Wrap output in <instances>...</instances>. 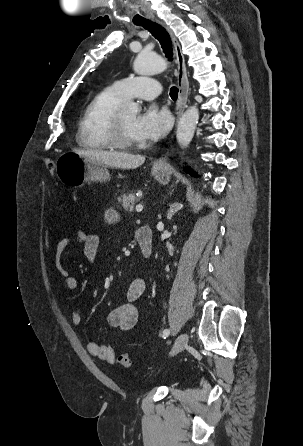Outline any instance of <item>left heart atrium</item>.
I'll return each instance as SVG.
<instances>
[{"mask_svg": "<svg viewBox=\"0 0 303 446\" xmlns=\"http://www.w3.org/2000/svg\"><path fill=\"white\" fill-rule=\"evenodd\" d=\"M171 127V116L166 109L151 106L137 116L133 133L138 141H156L163 138Z\"/></svg>", "mask_w": 303, "mask_h": 446, "instance_id": "39dd6f15", "label": "left heart atrium"}]
</instances>
